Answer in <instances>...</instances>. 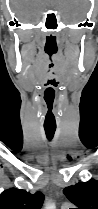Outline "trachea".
Returning <instances> with one entry per match:
<instances>
[{"label": "trachea", "instance_id": "obj_1", "mask_svg": "<svg viewBox=\"0 0 98 209\" xmlns=\"http://www.w3.org/2000/svg\"><path fill=\"white\" fill-rule=\"evenodd\" d=\"M45 129V133H46V136H47V139L48 140H51L54 136V133H55V130H56V127H44Z\"/></svg>", "mask_w": 98, "mask_h": 209}]
</instances>
